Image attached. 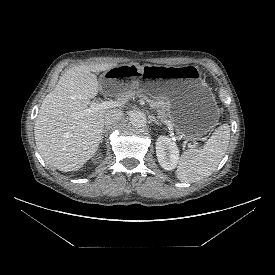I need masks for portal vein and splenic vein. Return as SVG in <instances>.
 <instances>
[{"label": "portal vein and splenic vein", "mask_w": 275, "mask_h": 275, "mask_svg": "<svg viewBox=\"0 0 275 275\" xmlns=\"http://www.w3.org/2000/svg\"><path fill=\"white\" fill-rule=\"evenodd\" d=\"M126 103V101H103L100 103L93 102L91 103L90 107L81 111L77 112L76 115L78 116H85L89 115L91 113H95L97 111L103 110V109H109L114 107H119L122 104ZM184 147L192 148V145L190 143L184 142Z\"/></svg>", "instance_id": "18ae733b"}]
</instances>
